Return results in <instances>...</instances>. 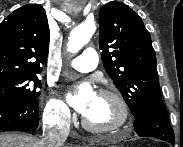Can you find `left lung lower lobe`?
<instances>
[{
    "instance_id": "left-lung-lower-lobe-1",
    "label": "left lung lower lobe",
    "mask_w": 183,
    "mask_h": 147,
    "mask_svg": "<svg viewBox=\"0 0 183 147\" xmlns=\"http://www.w3.org/2000/svg\"><path fill=\"white\" fill-rule=\"evenodd\" d=\"M134 128L141 137H155L167 142H174L173 129L165 113H143L136 117ZM172 145L174 144L172 143Z\"/></svg>"
}]
</instances>
